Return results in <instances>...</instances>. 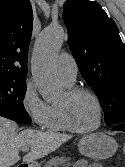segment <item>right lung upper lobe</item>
<instances>
[{"instance_id":"1","label":"right lung upper lobe","mask_w":125,"mask_h":167,"mask_svg":"<svg viewBox=\"0 0 125 167\" xmlns=\"http://www.w3.org/2000/svg\"><path fill=\"white\" fill-rule=\"evenodd\" d=\"M32 26L29 0H0V78L26 80Z\"/></svg>"}]
</instances>
